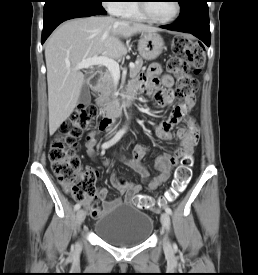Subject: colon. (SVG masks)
Here are the masks:
<instances>
[{"instance_id": "obj_1", "label": "colon", "mask_w": 258, "mask_h": 275, "mask_svg": "<svg viewBox=\"0 0 258 275\" xmlns=\"http://www.w3.org/2000/svg\"><path fill=\"white\" fill-rule=\"evenodd\" d=\"M175 56L166 64L167 71L177 78L175 95L188 99L198 90L199 82L192 76L203 67L205 53L203 48L191 38L183 35L176 36L172 42ZM97 115V109L92 106L78 108L59 129L53 139L49 152L52 170L64 190L75 200L83 202L96 194V173L92 170H81V161L77 155L78 139ZM107 123L103 120L100 126ZM192 157L184 156L181 165L176 169L168 191L158 198L157 202L147 196H135L134 204L142 210H155L174 201L184 191L191 178Z\"/></svg>"}]
</instances>
